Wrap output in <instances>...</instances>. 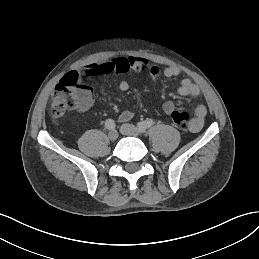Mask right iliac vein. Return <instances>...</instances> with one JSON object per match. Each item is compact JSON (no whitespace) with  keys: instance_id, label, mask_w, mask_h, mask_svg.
I'll return each mask as SVG.
<instances>
[{"instance_id":"63e3f726","label":"right iliac vein","mask_w":259,"mask_h":259,"mask_svg":"<svg viewBox=\"0 0 259 259\" xmlns=\"http://www.w3.org/2000/svg\"><path fill=\"white\" fill-rule=\"evenodd\" d=\"M108 137L111 141H114L118 138V132L116 130H112L108 133Z\"/></svg>"}]
</instances>
